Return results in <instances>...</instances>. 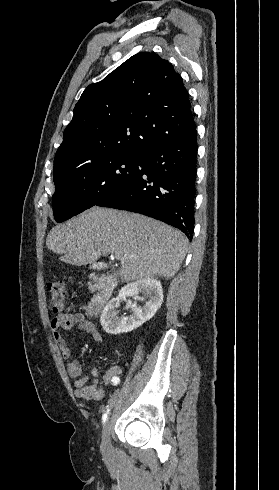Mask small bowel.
Returning a JSON list of instances; mask_svg holds the SVG:
<instances>
[{
	"mask_svg": "<svg viewBox=\"0 0 279 490\" xmlns=\"http://www.w3.org/2000/svg\"><path fill=\"white\" fill-rule=\"evenodd\" d=\"M49 326L52 339L57 344L62 357L67 360L68 374L71 378L75 379V395L84 400H102L105 397L106 390L105 388L98 387V369L92 367L89 374L80 377V362L71 359L73 351L61 333V330H71L74 327H77L80 331L90 335L94 341L100 342L102 336L99 330L81 313H57L51 318ZM121 373L122 368L119 365H112L103 375L102 381L107 386H116L119 382Z\"/></svg>",
	"mask_w": 279,
	"mask_h": 490,
	"instance_id": "obj_1",
	"label": "small bowel"
}]
</instances>
